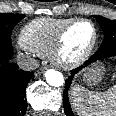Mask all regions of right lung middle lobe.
I'll use <instances>...</instances> for the list:
<instances>
[{
  "mask_svg": "<svg viewBox=\"0 0 116 116\" xmlns=\"http://www.w3.org/2000/svg\"><path fill=\"white\" fill-rule=\"evenodd\" d=\"M24 17L23 14L0 13V57L11 51L12 29Z\"/></svg>",
  "mask_w": 116,
  "mask_h": 116,
  "instance_id": "1",
  "label": "right lung middle lobe"
}]
</instances>
